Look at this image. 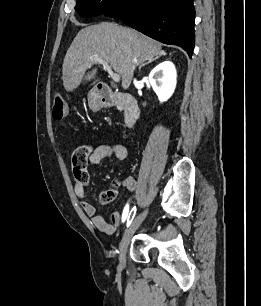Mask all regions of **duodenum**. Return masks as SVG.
Wrapping results in <instances>:
<instances>
[{
  "mask_svg": "<svg viewBox=\"0 0 261 306\" xmlns=\"http://www.w3.org/2000/svg\"><path fill=\"white\" fill-rule=\"evenodd\" d=\"M95 95L102 106L118 105L124 113L126 126L131 127L138 120L140 109L137 100L132 95L114 92L107 84H99Z\"/></svg>",
  "mask_w": 261,
  "mask_h": 306,
  "instance_id": "duodenum-1",
  "label": "duodenum"
}]
</instances>
